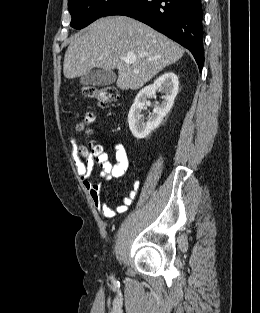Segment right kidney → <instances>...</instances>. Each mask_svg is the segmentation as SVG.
<instances>
[{
	"instance_id": "obj_1",
	"label": "right kidney",
	"mask_w": 260,
	"mask_h": 313,
	"mask_svg": "<svg viewBox=\"0 0 260 313\" xmlns=\"http://www.w3.org/2000/svg\"><path fill=\"white\" fill-rule=\"evenodd\" d=\"M179 87L178 77L173 72H166L157 78L152 85L143 88L136 96L128 114L129 128L137 139L146 138L162 122L163 118L171 110ZM161 90L163 101L156 106L152 115L145 121L142 110L149 104L148 98Z\"/></svg>"
}]
</instances>
